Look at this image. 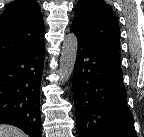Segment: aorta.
Segmentation results:
<instances>
[{"label": "aorta", "instance_id": "aorta-1", "mask_svg": "<svg viewBox=\"0 0 144 137\" xmlns=\"http://www.w3.org/2000/svg\"><path fill=\"white\" fill-rule=\"evenodd\" d=\"M78 50V40L74 33L66 35L61 49V57L59 64V81L65 83L71 77Z\"/></svg>", "mask_w": 144, "mask_h": 137}]
</instances>
